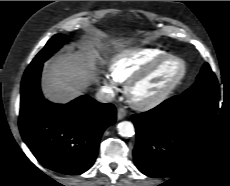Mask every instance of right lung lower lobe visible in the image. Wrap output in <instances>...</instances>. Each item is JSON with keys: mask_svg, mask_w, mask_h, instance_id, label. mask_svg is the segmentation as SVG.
I'll use <instances>...</instances> for the list:
<instances>
[{"mask_svg": "<svg viewBox=\"0 0 230 186\" xmlns=\"http://www.w3.org/2000/svg\"><path fill=\"white\" fill-rule=\"evenodd\" d=\"M42 66H29L21 82V136L43 166L81 174L93 165L102 133L115 123L116 109L87 95L68 104L49 102L40 89Z\"/></svg>", "mask_w": 230, "mask_h": 186, "instance_id": "right-lung-lower-lobe-1", "label": "right lung lower lobe"}]
</instances>
